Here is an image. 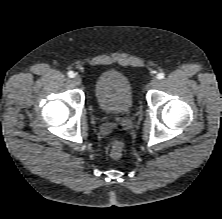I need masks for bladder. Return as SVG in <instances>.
<instances>
[{
    "instance_id": "obj_1",
    "label": "bladder",
    "mask_w": 222,
    "mask_h": 219,
    "mask_svg": "<svg viewBox=\"0 0 222 219\" xmlns=\"http://www.w3.org/2000/svg\"><path fill=\"white\" fill-rule=\"evenodd\" d=\"M94 95L98 107L106 114L124 116L133 108L130 82L119 71L101 73L95 81Z\"/></svg>"
}]
</instances>
